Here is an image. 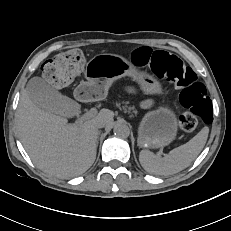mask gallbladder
<instances>
[{
	"mask_svg": "<svg viewBox=\"0 0 231 231\" xmlns=\"http://www.w3.org/2000/svg\"><path fill=\"white\" fill-rule=\"evenodd\" d=\"M26 90L31 101L42 110L66 112L64 105L70 103L68 98L48 85L40 77L30 79Z\"/></svg>",
	"mask_w": 231,
	"mask_h": 231,
	"instance_id": "bac80fb5",
	"label": "gallbladder"
}]
</instances>
